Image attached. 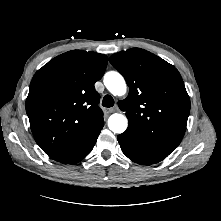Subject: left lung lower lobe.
<instances>
[{
	"label": "left lung lower lobe",
	"mask_w": 221,
	"mask_h": 221,
	"mask_svg": "<svg viewBox=\"0 0 221 221\" xmlns=\"http://www.w3.org/2000/svg\"><path fill=\"white\" fill-rule=\"evenodd\" d=\"M122 152L133 162L141 165L155 164L165 159L169 154L154 150L141 143L129 130L118 135Z\"/></svg>",
	"instance_id": "obj_1"
}]
</instances>
